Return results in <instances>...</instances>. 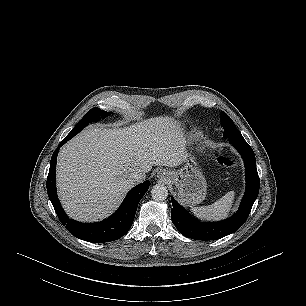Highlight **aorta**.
<instances>
[{
	"label": "aorta",
	"instance_id": "aorta-1",
	"mask_svg": "<svg viewBox=\"0 0 306 306\" xmlns=\"http://www.w3.org/2000/svg\"><path fill=\"white\" fill-rule=\"evenodd\" d=\"M151 196L156 201H163L168 196V189L163 184H156L151 189Z\"/></svg>",
	"mask_w": 306,
	"mask_h": 306
}]
</instances>
